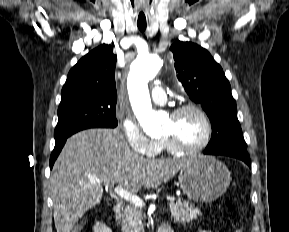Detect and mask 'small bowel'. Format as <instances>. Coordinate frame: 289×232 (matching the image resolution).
I'll list each match as a JSON object with an SVG mask.
<instances>
[{
	"label": "small bowel",
	"instance_id": "c3829d8e",
	"mask_svg": "<svg viewBox=\"0 0 289 232\" xmlns=\"http://www.w3.org/2000/svg\"><path fill=\"white\" fill-rule=\"evenodd\" d=\"M93 232H113V231L107 224L103 222H97L93 225Z\"/></svg>",
	"mask_w": 289,
	"mask_h": 232
}]
</instances>
